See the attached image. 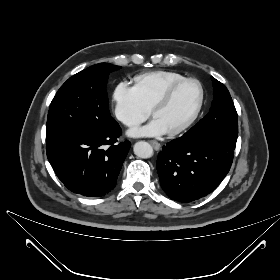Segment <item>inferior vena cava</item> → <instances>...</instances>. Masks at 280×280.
<instances>
[{
    "label": "inferior vena cava",
    "instance_id": "1",
    "mask_svg": "<svg viewBox=\"0 0 280 280\" xmlns=\"http://www.w3.org/2000/svg\"><path fill=\"white\" fill-rule=\"evenodd\" d=\"M127 124H129V125H130V124H131V122H129V121H128V122H127Z\"/></svg>",
    "mask_w": 280,
    "mask_h": 280
}]
</instances>
